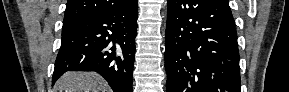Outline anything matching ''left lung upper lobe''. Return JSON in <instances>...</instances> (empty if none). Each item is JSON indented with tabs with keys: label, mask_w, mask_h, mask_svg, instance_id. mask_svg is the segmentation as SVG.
I'll return each mask as SVG.
<instances>
[{
	"label": "left lung upper lobe",
	"mask_w": 289,
	"mask_h": 92,
	"mask_svg": "<svg viewBox=\"0 0 289 92\" xmlns=\"http://www.w3.org/2000/svg\"><path fill=\"white\" fill-rule=\"evenodd\" d=\"M223 1H225V2H227V3H228V0H223Z\"/></svg>",
	"instance_id": "obj_1"
}]
</instances>
